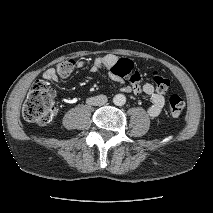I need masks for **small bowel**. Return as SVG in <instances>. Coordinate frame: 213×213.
<instances>
[{"mask_svg": "<svg viewBox=\"0 0 213 213\" xmlns=\"http://www.w3.org/2000/svg\"><path fill=\"white\" fill-rule=\"evenodd\" d=\"M118 60L119 58L113 54H107L97 57L93 60L90 71L96 73L101 70H106L111 78L121 84L120 90L122 92H132L135 95H146L150 97L151 104L147 108L148 115L151 117H157L158 115H160L165 105L164 96L160 92H158L151 83H142L140 74L135 70H133L132 74L126 78L127 82H125L123 78L115 76L112 73V68L118 62ZM84 66L85 62L83 60L74 62V67L76 68L81 69ZM43 77L48 81L57 82L63 76H60L57 73L56 68L51 67L45 70V72L43 73Z\"/></svg>", "mask_w": 213, "mask_h": 213, "instance_id": "small-bowel-1", "label": "small bowel"}]
</instances>
